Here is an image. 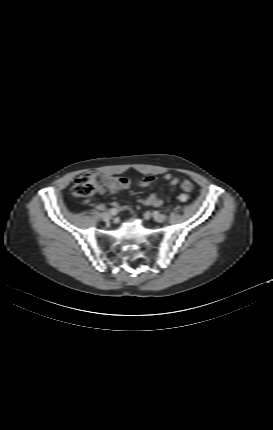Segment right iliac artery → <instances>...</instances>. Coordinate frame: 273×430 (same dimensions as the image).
<instances>
[{
    "mask_svg": "<svg viewBox=\"0 0 273 430\" xmlns=\"http://www.w3.org/2000/svg\"><path fill=\"white\" fill-rule=\"evenodd\" d=\"M110 212L112 213V215H115V214L117 213V209L112 208V209L110 210Z\"/></svg>",
    "mask_w": 273,
    "mask_h": 430,
    "instance_id": "obj_1",
    "label": "right iliac artery"
}]
</instances>
